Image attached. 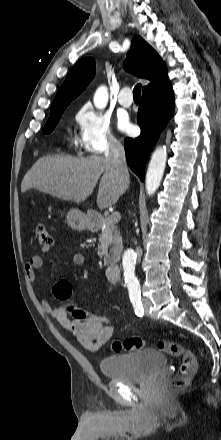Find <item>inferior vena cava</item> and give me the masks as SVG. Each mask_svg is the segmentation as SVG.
Instances as JSON below:
<instances>
[{"instance_id":"1","label":"inferior vena cava","mask_w":221,"mask_h":440,"mask_svg":"<svg viewBox=\"0 0 221 440\" xmlns=\"http://www.w3.org/2000/svg\"><path fill=\"white\" fill-rule=\"evenodd\" d=\"M105 159L112 164L116 174L125 183V188L129 185V172L126 163L124 147L116 139H110L108 149L105 152Z\"/></svg>"}]
</instances>
